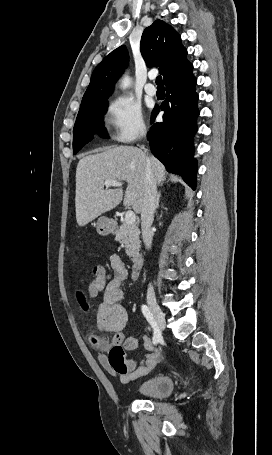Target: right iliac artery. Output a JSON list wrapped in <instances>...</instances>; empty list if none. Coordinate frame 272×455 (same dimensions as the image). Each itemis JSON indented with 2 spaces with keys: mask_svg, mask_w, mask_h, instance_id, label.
I'll use <instances>...</instances> for the list:
<instances>
[{
  "mask_svg": "<svg viewBox=\"0 0 272 455\" xmlns=\"http://www.w3.org/2000/svg\"><path fill=\"white\" fill-rule=\"evenodd\" d=\"M141 310H142V313L144 314L145 318L147 319V321L153 328V331H154L153 344L157 345L162 339L161 331L157 325V322H156L153 314L150 312L149 308L146 305H142Z\"/></svg>",
  "mask_w": 272,
  "mask_h": 455,
  "instance_id": "82829eb1",
  "label": "right iliac artery"
}]
</instances>
